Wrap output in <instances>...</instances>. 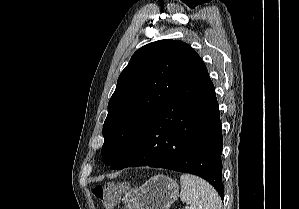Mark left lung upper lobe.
<instances>
[{"instance_id":"1","label":"left lung upper lobe","mask_w":299,"mask_h":209,"mask_svg":"<svg viewBox=\"0 0 299 209\" xmlns=\"http://www.w3.org/2000/svg\"><path fill=\"white\" fill-rule=\"evenodd\" d=\"M206 66L188 44L159 40L137 50L118 78L108 104L101 149L116 169L160 108Z\"/></svg>"}]
</instances>
